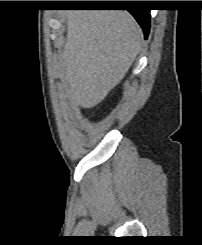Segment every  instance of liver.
Returning a JSON list of instances; mask_svg holds the SVG:
<instances>
[{"instance_id":"6515ba94","label":"liver","mask_w":202,"mask_h":245,"mask_svg":"<svg viewBox=\"0 0 202 245\" xmlns=\"http://www.w3.org/2000/svg\"><path fill=\"white\" fill-rule=\"evenodd\" d=\"M143 32L122 10L67 13V36L60 65L73 106L99 104L125 76L141 50Z\"/></svg>"}]
</instances>
